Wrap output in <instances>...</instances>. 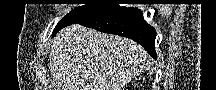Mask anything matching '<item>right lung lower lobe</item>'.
Wrapping results in <instances>:
<instances>
[{
    "mask_svg": "<svg viewBox=\"0 0 216 90\" xmlns=\"http://www.w3.org/2000/svg\"><path fill=\"white\" fill-rule=\"evenodd\" d=\"M75 23L101 32L131 38L141 44L154 59H157L155 53L156 31L144 20L142 12L137 8L116 5L106 12Z\"/></svg>",
    "mask_w": 216,
    "mask_h": 90,
    "instance_id": "1",
    "label": "right lung lower lobe"
}]
</instances>
